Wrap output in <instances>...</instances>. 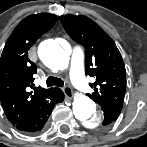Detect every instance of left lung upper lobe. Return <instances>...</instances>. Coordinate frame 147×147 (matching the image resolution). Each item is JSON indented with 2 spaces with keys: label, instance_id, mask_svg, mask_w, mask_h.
I'll return each mask as SVG.
<instances>
[{
  "label": "left lung upper lobe",
  "instance_id": "1",
  "mask_svg": "<svg viewBox=\"0 0 147 147\" xmlns=\"http://www.w3.org/2000/svg\"><path fill=\"white\" fill-rule=\"evenodd\" d=\"M61 23L69 36L85 48L86 75L95 78L90 98L101 107L123 102L126 70L112 38L86 16L65 15Z\"/></svg>",
  "mask_w": 147,
  "mask_h": 147
}]
</instances>
